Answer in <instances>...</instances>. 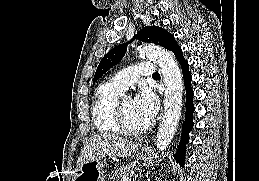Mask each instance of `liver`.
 <instances>
[{
	"label": "liver",
	"mask_w": 259,
	"mask_h": 181,
	"mask_svg": "<svg viewBox=\"0 0 259 181\" xmlns=\"http://www.w3.org/2000/svg\"><path fill=\"white\" fill-rule=\"evenodd\" d=\"M137 147V144L113 134H96L84 144L77 160V166L79 167L87 159L97 156L127 158L135 152Z\"/></svg>",
	"instance_id": "liver-1"
}]
</instances>
